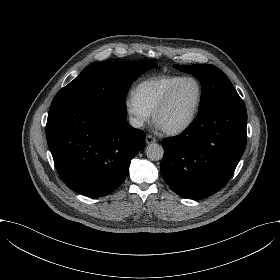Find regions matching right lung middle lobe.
<instances>
[{
  "mask_svg": "<svg viewBox=\"0 0 280 280\" xmlns=\"http://www.w3.org/2000/svg\"><path fill=\"white\" fill-rule=\"evenodd\" d=\"M158 68L153 61H105L87 66L78 77L63 87L54 98L80 99L126 117V95L134 80Z\"/></svg>",
  "mask_w": 280,
  "mask_h": 280,
  "instance_id": "obj_1",
  "label": "right lung middle lobe"
}]
</instances>
